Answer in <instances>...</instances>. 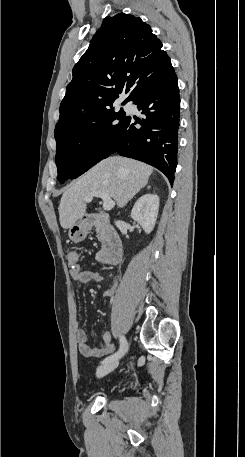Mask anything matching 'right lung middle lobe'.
Here are the masks:
<instances>
[{
	"instance_id": "right-lung-middle-lobe-1",
	"label": "right lung middle lobe",
	"mask_w": 245,
	"mask_h": 457,
	"mask_svg": "<svg viewBox=\"0 0 245 457\" xmlns=\"http://www.w3.org/2000/svg\"><path fill=\"white\" fill-rule=\"evenodd\" d=\"M127 101H124V105ZM113 104L57 127V179H75L98 161L113 153L122 130L125 112H115Z\"/></svg>"
}]
</instances>
